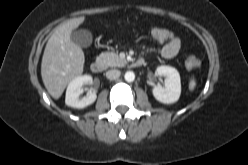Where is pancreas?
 Wrapping results in <instances>:
<instances>
[{
  "instance_id": "cf45deb5",
  "label": "pancreas",
  "mask_w": 248,
  "mask_h": 165,
  "mask_svg": "<svg viewBox=\"0 0 248 165\" xmlns=\"http://www.w3.org/2000/svg\"><path fill=\"white\" fill-rule=\"evenodd\" d=\"M98 58L105 67H123L127 63L126 60L121 59L115 52H103Z\"/></svg>"
}]
</instances>
